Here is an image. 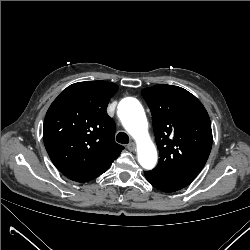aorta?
I'll return each instance as SVG.
<instances>
[{
	"instance_id": "1",
	"label": "aorta",
	"mask_w": 250,
	"mask_h": 250,
	"mask_svg": "<svg viewBox=\"0 0 250 250\" xmlns=\"http://www.w3.org/2000/svg\"><path fill=\"white\" fill-rule=\"evenodd\" d=\"M118 107L123 111V126L137 143L138 162L145 169L154 168L157 151L148 133V122L142 105L135 98L128 97Z\"/></svg>"
}]
</instances>
